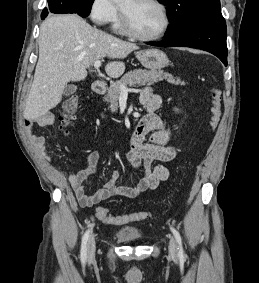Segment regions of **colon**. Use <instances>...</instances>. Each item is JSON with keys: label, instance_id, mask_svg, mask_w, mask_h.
I'll return each instance as SVG.
<instances>
[{"label": "colon", "instance_id": "5ec220e1", "mask_svg": "<svg viewBox=\"0 0 259 283\" xmlns=\"http://www.w3.org/2000/svg\"><path fill=\"white\" fill-rule=\"evenodd\" d=\"M212 104H211V116L209 120L210 129H215L220 118V92L216 88H210ZM80 103L76 95H72L64 100L59 111V121L62 129H66L70 126L74 115L79 111ZM147 215L145 213H133L129 215L114 216L111 215L107 209L100 208L97 211V218L110 225H120L128 222L145 219Z\"/></svg>", "mask_w": 259, "mask_h": 283}]
</instances>
